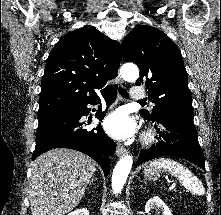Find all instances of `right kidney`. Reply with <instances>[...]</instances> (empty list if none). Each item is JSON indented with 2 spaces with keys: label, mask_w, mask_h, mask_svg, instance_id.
Returning a JSON list of instances; mask_svg holds the SVG:
<instances>
[{
  "label": "right kidney",
  "mask_w": 221,
  "mask_h": 215,
  "mask_svg": "<svg viewBox=\"0 0 221 215\" xmlns=\"http://www.w3.org/2000/svg\"><path fill=\"white\" fill-rule=\"evenodd\" d=\"M68 215H89V211L85 208L75 210L74 212L69 213Z\"/></svg>",
  "instance_id": "1"
}]
</instances>
